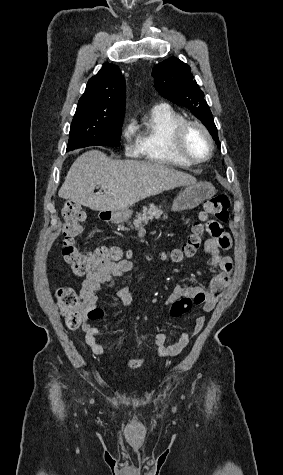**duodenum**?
Here are the masks:
<instances>
[{
  "label": "duodenum",
  "instance_id": "obj_1",
  "mask_svg": "<svg viewBox=\"0 0 283 475\" xmlns=\"http://www.w3.org/2000/svg\"><path fill=\"white\" fill-rule=\"evenodd\" d=\"M105 219H107V220L110 219V215L107 214V215L105 216Z\"/></svg>",
  "mask_w": 283,
  "mask_h": 475
}]
</instances>
